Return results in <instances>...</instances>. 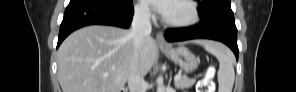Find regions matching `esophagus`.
I'll list each match as a JSON object with an SVG mask.
<instances>
[{
	"label": "esophagus",
	"mask_w": 296,
	"mask_h": 92,
	"mask_svg": "<svg viewBox=\"0 0 296 92\" xmlns=\"http://www.w3.org/2000/svg\"><path fill=\"white\" fill-rule=\"evenodd\" d=\"M156 42L160 47H167L168 44L166 43L164 36L162 34V32H157L156 33Z\"/></svg>",
	"instance_id": "obj_1"
}]
</instances>
